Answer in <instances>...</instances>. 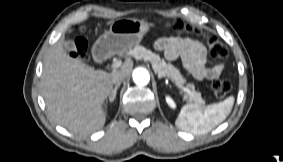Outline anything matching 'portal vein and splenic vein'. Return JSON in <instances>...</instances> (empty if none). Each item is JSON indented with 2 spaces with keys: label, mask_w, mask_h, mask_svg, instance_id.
Here are the masks:
<instances>
[{
  "label": "portal vein and splenic vein",
  "mask_w": 283,
  "mask_h": 162,
  "mask_svg": "<svg viewBox=\"0 0 283 162\" xmlns=\"http://www.w3.org/2000/svg\"><path fill=\"white\" fill-rule=\"evenodd\" d=\"M122 65V62L121 61H116L112 64V68L115 70L117 68H119L120 66ZM176 84V83H175ZM177 85V84H176ZM178 88L182 89L183 91H188L187 88H184L180 85H177Z\"/></svg>",
  "instance_id": "18ae733b"
}]
</instances>
